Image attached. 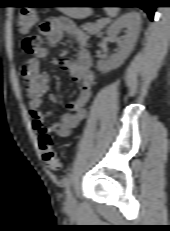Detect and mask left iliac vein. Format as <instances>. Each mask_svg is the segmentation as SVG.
Masks as SVG:
<instances>
[{
  "mask_svg": "<svg viewBox=\"0 0 170 231\" xmlns=\"http://www.w3.org/2000/svg\"><path fill=\"white\" fill-rule=\"evenodd\" d=\"M66 205H67L68 208L76 207V200H75L74 196L71 193H69V195H68Z\"/></svg>",
  "mask_w": 170,
  "mask_h": 231,
  "instance_id": "4c4485c4",
  "label": "left iliac vein"
}]
</instances>
